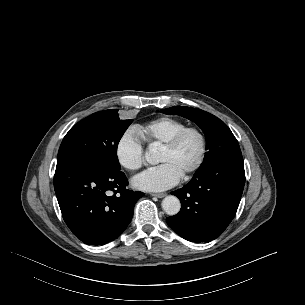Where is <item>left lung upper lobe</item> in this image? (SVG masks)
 <instances>
[{
    "mask_svg": "<svg viewBox=\"0 0 305 305\" xmlns=\"http://www.w3.org/2000/svg\"><path fill=\"white\" fill-rule=\"evenodd\" d=\"M161 112L181 114V116L194 121L205 133L207 152L198 171L205 170L228 156L241 154L238 141L229 127L214 115L197 108L185 106L170 107L162 109Z\"/></svg>",
    "mask_w": 305,
    "mask_h": 305,
    "instance_id": "5c2ea615",
    "label": "left lung upper lobe"
}]
</instances>
